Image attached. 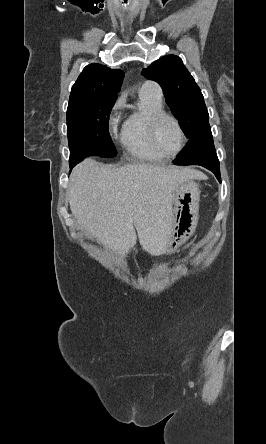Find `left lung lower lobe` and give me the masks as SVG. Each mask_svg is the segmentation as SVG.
Returning a JSON list of instances; mask_svg holds the SVG:
<instances>
[{
  "mask_svg": "<svg viewBox=\"0 0 266 444\" xmlns=\"http://www.w3.org/2000/svg\"><path fill=\"white\" fill-rule=\"evenodd\" d=\"M173 163L176 165H201L212 171L221 182L219 160L210 128L193 137Z\"/></svg>",
  "mask_w": 266,
  "mask_h": 444,
  "instance_id": "1",
  "label": "left lung lower lobe"
}]
</instances>
